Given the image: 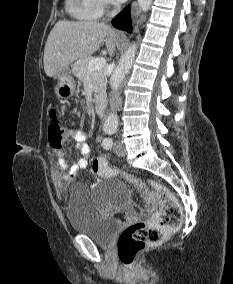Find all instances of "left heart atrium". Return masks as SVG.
I'll return each mask as SVG.
<instances>
[{
    "label": "left heart atrium",
    "mask_w": 233,
    "mask_h": 284,
    "mask_svg": "<svg viewBox=\"0 0 233 284\" xmlns=\"http://www.w3.org/2000/svg\"><path fill=\"white\" fill-rule=\"evenodd\" d=\"M118 1H121V2H122V1H125V0H118Z\"/></svg>",
    "instance_id": "1"
}]
</instances>
